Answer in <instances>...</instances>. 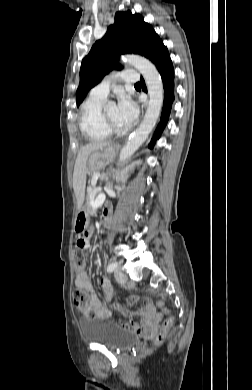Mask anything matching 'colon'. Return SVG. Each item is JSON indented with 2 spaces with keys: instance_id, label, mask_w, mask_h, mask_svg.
Returning <instances> with one entry per match:
<instances>
[{
  "instance_id": "5ec220e1",
  "label": "colon",
  "mask_w": 252,
  "mask_h": 390,
  "mask_svg": "<svg viewBox=\"0 0 252 390\" xmlns=\"http://www.w3.org/2000/svg\"><path fill=\"white\" fill-rule=\"evenodd\" d=\"M80 224L83 226L84 221H81ZM85 234L83 236H85ZM83 236L77 241L76 247L72 251L73 269L76 274H80L83 272L86 263L83 251L85 248V239ZM73 301L75 306L82 311L85 317L90 318L95 315L94 310L90 307L88 303L89 295L86 290L82 288H76L73 292ZM173 324L174 317L168 316L163 322L161 329L154 337V341L156 344L163 342Z\"/></svg>"
}]
</instances>
